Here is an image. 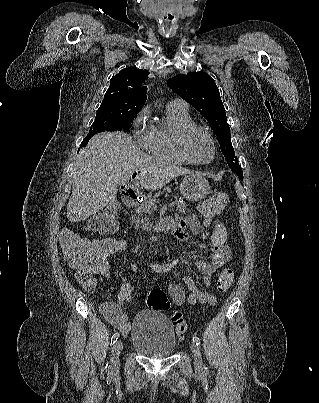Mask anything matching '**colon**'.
I'll use <instances>...</instances> for the list:
<instances>
[{
  "mask_svg": "<svg viewBox=\"0 0 319 403\" xmlns=\"http://www.w3.org/2000/svg\"><path fill=\"white\" fill-rule=\"evenodd\" d=\"M227 202L226 194L218 192L208 198L204 203L203 214L208 218H213L220 214ZM123 208L121 201H114L112 208H107L106 212L94 216L89 221V227L99 233L90 234L89 241L77 236L71 231L63 233L62 241L64 251L70 260L77 264L75 277L77 281L87 290L94 289L97 281L96 265L102 258H123L126 249V240H121L120 234H114L118 229L117 210ZM212 230L213 246L223 247L224 243H231V221L224 218H215L210 221ZM234 272L231 269H224L219 277L217 289L225 292L233 283ZM149 307L157 311H170V320L174 325L178 337H183L188 326L181 312L171 309V303L167 294L162 289L151 290L146 297Z\"/></svg>",
  "mask_w": 319,
  "mask_h": 403,
  "instance_id": "obj_1",
  "label": "colon"
}]
</instances>
